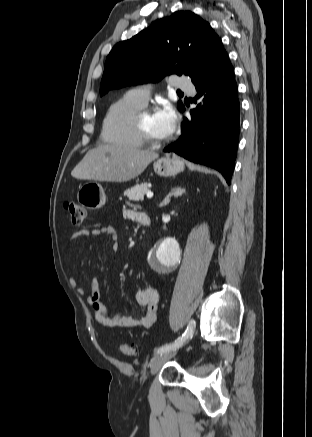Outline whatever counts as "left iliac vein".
<instances>
[{
	"instance_id": "obj_1",
	"label": "left iliac vein",
	"mask_w": 312,
	"mask_h": 437,
	"mask_svg": "<svg viewBox=\"0 0 312 437\" xmlns=\"http://www.w3.org/2000/svg\"><path fill=\"white\" fill-rule=\"evenodd\" d=\"M176 354V350H170L167 351L163 354H159L157 355L151 362L150 364V370L152 374L157 373L160 368L169 360L171 359L174 355Z\"/></svg>"
}]
</instances>
